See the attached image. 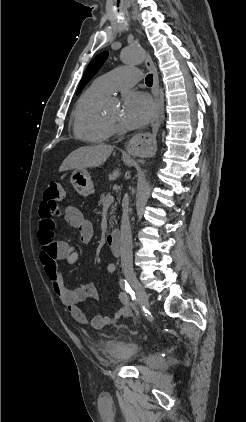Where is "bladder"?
Wrapping results in <instances>:
<instances>
[{"instance_id":"bladder-1","label":"bladder","mask_w":246,"mask_h":422,"mask_svg":"<svg viewBox=\"0 0 246 422\" xmlns=\"http://www.w3.org/2000/svg\"><path fill=\"white\" fill-rule=\"evenodd\" d=\"M98 350L105 357L119 362L138 359L141 353L140 345L137 342L124 339L104 340L100 343ZM152 361L160 364L163 358L160 354H154Z\"/></svg>"}]
</instances>
